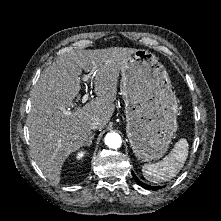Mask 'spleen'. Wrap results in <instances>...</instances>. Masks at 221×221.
I'll use <instances>...</instances> for the list:
<instances>
[{
	"mask_svg": "<svg viewBox=\"0 0 221 221\" xmlns=\"http://www.w3.org/2000/svg\"><path fill=\"white\" fill-rule=\"evenodd\" d=\"M188 149L187 140L185 138L180 139L163 160L153 164H145L142 167L143 176L153 183L171 180L182 169L188 156Z\"/></svg>",
	"mask_w": 221,
	"mask_h": 221,
	"instance_id": "3e777b00",
	"label": "spleen"
}]
</instances>
